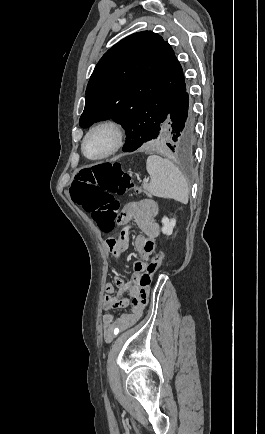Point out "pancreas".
I'll return each instance as SVG.
<instances>
[{"mask_svg":"<svg viewBox=\"0 0 265 434\" xmlns=\"http://www.w3.org/2000/svg\"><path fill=\"white\" fill-rule=\"evenodd\" d=\"M142 188L144 190V194H146V196H148V198H152L151 192L149 190V184H146V182H144V184H142Z\"/></svg>","mask_w":265,"mask_h":434,"instance_id":"obj_1","label":"pancreas"}]
</instances>
